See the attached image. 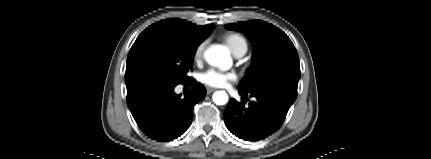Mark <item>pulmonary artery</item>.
Returning <instances> with one entry per match:
<instances>
[{
  "label": "pulmonary artery",
  "instance_id": "pulmonary-artery-1",
  "mask_svg": "<svg viewBox=\"0 0 431 159\" xmlns=\"http://www.w3.org/2000/svg\"><path fill=\"white\" fill-rule=\"evenodd\" d=\"M244 54H245V52H244V51H242V52L237 53L235 56H236V57H242Z\"/></svg>",
  "mask_w": 431,
  "mask_h": 159
}]
</instances>
